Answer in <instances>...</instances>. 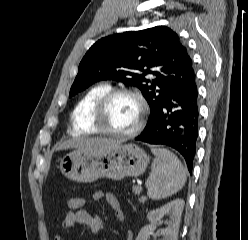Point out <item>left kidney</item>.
Returning a JSON list of instances; mask_svg holds the SVG:
<instances>
[{"label": "left kidney", "mask_w": 248, "mask_h": 240, "mask_svg": "<svg viewBox=\"0 0 248 240\" xmlns=\"http://www.w3.org/2000/svg\"><path fill=\"white\" fill-rule=\"evenodd\" d=\"M183 208L184 201L175 199L158 209L150 211L147 215L150 224L140 230L136 240H148L149 235L156 229L157 222L164 216H169V220L166 221L167 227L160 230V235L163 236L162 240H177Z\"/></svg>", "instance_id": "1"}]
</instances>
